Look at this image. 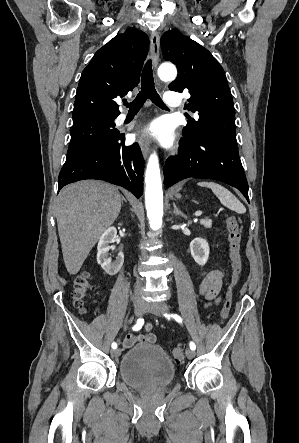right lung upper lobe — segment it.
Listing matches in <instances>:
<instances>
[{"mask_svg": "<svg viewBox=\"0 0 299 443\" xmlns=\"http://www.w3.org/2000/svg\"><path fill=\"white\" fill-rule=\"evenodd\" d=\"M149 48L148 36L128 29L100 48L82 72L73 109V124L120 114L115 99L138 85Z\"/></svg>", "mask_w": 299, "mask_h": 443, "instance_id": "1", "label": "right lung upper lobe"}]
</instances>
